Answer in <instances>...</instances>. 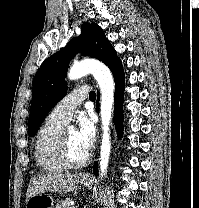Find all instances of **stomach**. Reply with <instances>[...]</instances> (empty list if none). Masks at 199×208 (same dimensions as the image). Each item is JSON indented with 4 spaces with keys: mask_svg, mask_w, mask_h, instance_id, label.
I'll return each instance as SVG.
<instances>
[{
    "mask_svg": "<svg viewBox=\"0 0 199 208\" xmlns=\"http://www.w3.org/2000/svg\"><path fill=\"white\" fill-rule=\"evenodd\" d=\"M80 183L84 188L90 189L92 187L91 181L81 180ZM53 205V197L46 192L38 193L29 198L26 202V208H53Z\"/></svg>",
    "mask_w": 199,
    "mask_h": 208,
    "instance_id": "stomach-1",
    "label": "stomach"
}]
</instances>
